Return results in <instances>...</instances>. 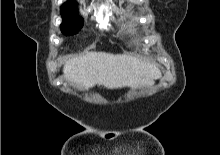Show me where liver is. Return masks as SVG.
<instances>
[{"mask_svg": "<svg viewBox=\"0 0 220 155\" xmlns=\"http://www.w3.org/2000/svg\"><path fill=\"white\" fill-rule=\"evenodd\" d=\"M66 80L85 90L102 85L108 89L151 86L161 75L154 64L127 54L88 52L67 60Z\"/></svg>", "mask_w": 220, "mask_h": 155, "instance_id": "6515ba94", "label": "liver"}]
</instances>
